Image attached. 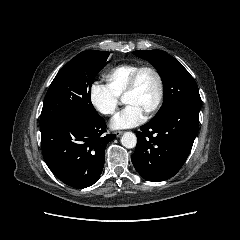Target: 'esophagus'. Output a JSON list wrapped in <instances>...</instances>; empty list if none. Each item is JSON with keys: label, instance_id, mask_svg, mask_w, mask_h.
Returning <instances> with one entry per match:
<instances>
[{"label": "esophagus", "instance_id": "1", "mask_svg": "<svg viewBox=\"0 0 240 240\" xmlns=\"http://www.w3.org/2000/svg\"><path fill=\"white\" fill-rule=\"evenodd\" d=\"M122 131H115L114 134L116 135V137H119L120 135H122Z\"/></svg>", "mask_w": 240, "mask_h": 240}]
</instances>
